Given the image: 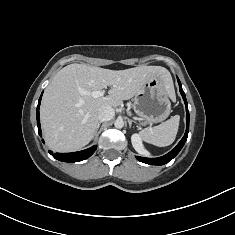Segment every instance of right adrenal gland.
I'll use <instances>...</instances> for the list:
<instances>
[{
    "label": "right adrenal gland",
    "instance_id": "obj_1",
    "mask_svg": "<svg viewBox=\"0 0 235 235\" xmlns=\"http://www.w3.org/2000/svg\"><path fill=\"white\" fill-rule=\"evenodd\" d=\"M100 125H101V122L98 123V126H97V129H96V132H95V133H97V131H98Z\"/></svg>",
    "mask_w": 235,
    "mask_h": 235
}]
</instances>
